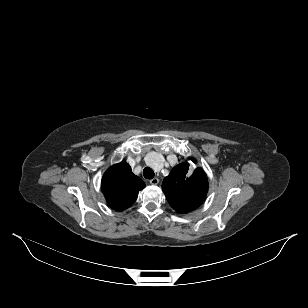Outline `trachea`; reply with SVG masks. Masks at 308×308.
Wrapping results in <instances>:
<instances>
[{"instance_id":"obj_1","label":"trachea","mask_w":308,"mask_h":308,"mask_svg":"<svg viewBox=\"0 0 308 308\" xmlns=\"http://www.w3.org/2000/svg\"><path fill=\"white\" fill-rule=\"evenodd\" d=\"M143 175L146 179H153L154 171L150 167H146L143 170Z\"/></svg>"}]
</instances>
